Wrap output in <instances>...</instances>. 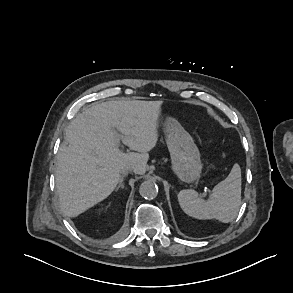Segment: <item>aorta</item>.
I'll return each mask as SVG.
<instances>
[{
    "label": "aorta",
    "instance_id": "aorta-1",
    "mask_svg": "<svg viewBox=\"0 0 293 293\" xmlns=\"http://www.w3.org/2000/svg\"><path fill=\"white\" fill-rule=\"evenodd\" d=\"M139 193L143 198L147 200H152L158 194V186L153 181H144L141 183L139 187Z\"/></svg>",
    "mask_w": 293,
    "mask_h": 293
}]
</instances>
